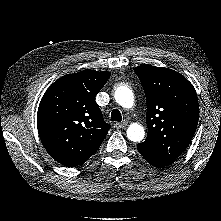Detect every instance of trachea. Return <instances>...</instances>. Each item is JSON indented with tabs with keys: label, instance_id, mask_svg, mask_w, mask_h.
<instances>
[{
	"label": "trachea",
	"instance_id": "1",
	"mask_svg": "<svg viewBox=\"0 0 221 221\" xmlns=\"http://www.w3.org/2000/svg\"><path fill=\"white\" fill-rule=\"evenodd\" d=\"M110 119H111V121L121 122V120H122L121 112L118 109H114L111 112Z\"/></svg>",
	"mask_w": 221,
	"mask_h": 221
}]
</instances>
